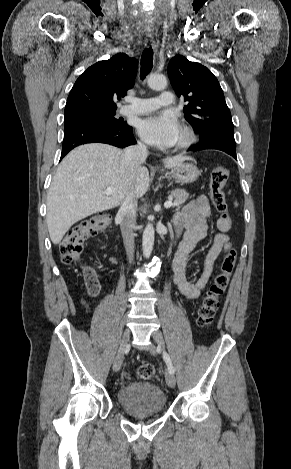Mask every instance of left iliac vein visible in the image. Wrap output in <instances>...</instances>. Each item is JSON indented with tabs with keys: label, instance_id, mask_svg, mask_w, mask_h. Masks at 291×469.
<instances>
[{
	"label": "left iliac vein",
	"instance_id": "4c4485c4",
	"mask_svg": "<svg viewBox=\"0 0 291 469\" xmlns=\"http://www.w3.org/2000/svg\"><path fill=\"white\" fill-rule=\"evenodd\" d=\"M152 337L160 348H164V339H163V335L161 331L155 330L152 334ZM154 352H155L154 348L151 347V353H154ZM165 379L169 387L173 388L175 386L176 378L173 373H171L170 371H167L165 373Z\"/></svg>",
	"mask_w": 291,
	"mask_h": 469
}]
</instances>
